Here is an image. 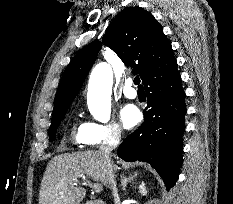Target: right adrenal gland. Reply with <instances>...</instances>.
<instances>
[{"mask_svg": "<svg viewBox=\"0 0 233 204\" xmlns=\"http://www.w3.org/2000/svg\"><path fill=\"white\" fill-rule=\"evenodd\" d=\"M138 173H134V175L130 176V177H125L124 174L121 175V186H122V190L126 189V186L129 182L133 181L135 177H137Z\"/></svg>", "mask_w": 233, "mask_h": 204, "instance_id": "obj_1", "label": "right adrenal gland"}]
</instances>
